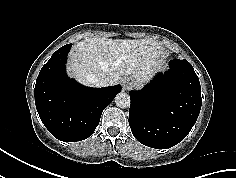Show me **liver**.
I'll return each instance as SVG.
<instances>
[{
    "instance_id": "6515ba94",
    "label": "liver",
    "mask_w": 236,
    "mask_h": 178,
    "mask_svg": "<svg viewBox=\"0 0 236 178\" xmlns=\"http://www.w3.org/2000/svg\"><path fill=\"white\" fill-rule=\"evenodd\" d=\"M165 56L158 42L150 39L87 38L70 51L68 73L87 85H93L90 76L108 77L109 85H114L127 75L143 84L163 66Z\"/></svg>"
}]
</instances>
